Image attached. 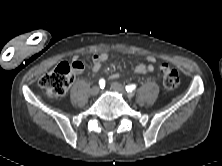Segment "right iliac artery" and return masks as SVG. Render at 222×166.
Returning <instances> with one entry per match:
<instances>
[{
  "label": "right iliac artery",
  "instance_id": "1",
  "mask_svg": "<svg viewBox=\"0 0 222 166\" xmlns=\"http://www.w3.org/2000/svg\"><path fill=\"white\" fill-rule=\"evenodd\" d=\"M99 85L101 88H104L105 87V80L104 79H100L99 80Z\"/></svg>",
  "mask_w": 222,
  "mask_h": 166
}]
</instances>
